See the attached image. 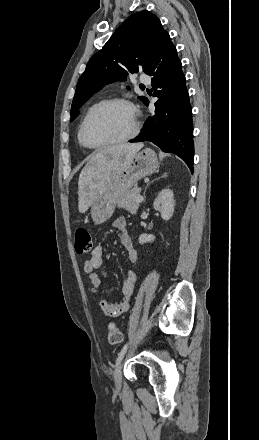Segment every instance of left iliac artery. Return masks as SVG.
Here are the masks:
<instances>
[{"mask_svg":"<svg viewBox=\"0 0 259 440\" xmlns=\"http://www.w3.org/2000/svg\"><path fill=\"white\" fill-rule=\"evenodd\" d=\"M127 347H128V344H125L123 346V348L121 349V351L119 352L116 364H118L120 362V360L122 359V357L124 356V354H125V352L127 350Z\"/></svg>","mask_w":259,"mask_h":440,"instance_id":"1","label":"left iliac artery"}]
</instances>
